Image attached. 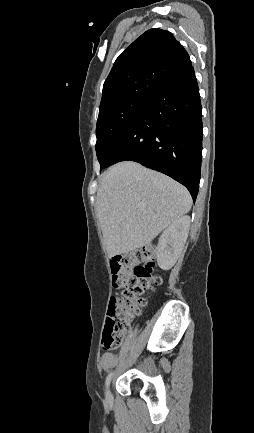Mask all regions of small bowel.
Returning <instances> with one entry per match:
<instances>
[{"instance_id": "c3829d8e", "label": "small bowel", "mask_w": 254, "mask_h": 433, "mask_svg": "<svg viewBox=\"0 0 254 433\" xmlns=\"http://www.w3.org/2000/svg\"><path fill=\"white\" fill-rule=\"evenodd\" d=\"M115 363V359L112 353H105L101 357V366L104 369L111 368Z\"/></svg>"}]
</instances>
